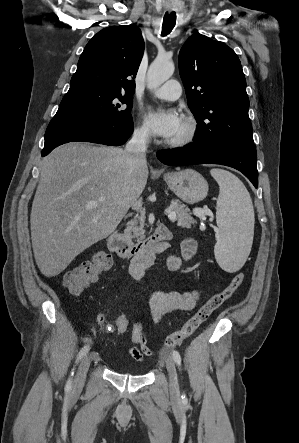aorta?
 I'll return each instance as SVG.
<instances>
[{"label": "aorta", "instance_id": "obj_1", "mask_svg": "<svg viewBox=\"0 0 299 443\" xmlns=\"http://www.w3.org/2000/svg\"><path fill=\"white\" fill-rule=\"evenodd\" d=\"M174 70V64L170 59L158 56L148 69L147 87L158 88L173 75Z\"/></svg>", "mask_w": 299, "mask_h": 443}]
</instances>
